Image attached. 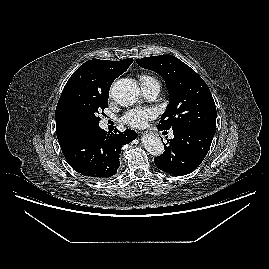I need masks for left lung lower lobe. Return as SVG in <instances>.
<instances>
[{"label":"left lung lower lobe","instance_id":"1","mask_svg":"<svg viewBox=\"0 0 269 269\" xmlns=\"http://www.w3.org/2000/svg\"><path fill=\"white\" fill-rule=\"evenodd\" d=\"M216 129L196 127L173 131L165 152L154 159L155 165L171 175L183 176L193 172L207 155Z\"/></svg>","mask_w":269,"mask_h":269}]
</instances>
